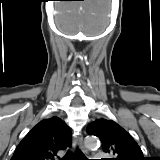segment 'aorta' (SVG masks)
<instances>
[{
    "instance_id": "obj_1",
    "label": "aorta",
    "mask_w": 160,
    "mask_h": 160,
    "mask_svg": "<svg viewBox=\"0 0 160 160\" xmlns=\"http://www.w3.org/2000/svg\"><path fill=\"white\" fill-rule=\"evenodd\" d=\"M99 145V140L96 137H88L85 139V146L87 148H96Z\"/></svg>"
}]
</instances>
